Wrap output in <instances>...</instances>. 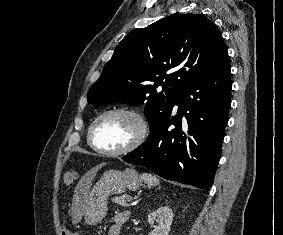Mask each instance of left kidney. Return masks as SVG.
<instances>
[{
	"label": "left kidney",
	"instance_id": "left-kidney-1",
	"mask_svg": "<svg viewBox=\"0 0 283 235\" xmlns=\"http://www.w3.org/2000/svg\"><path fill=\"white\" fill-rule=\"evenodd\" d=\"M172 221L173 212L168 206L158 208L148 215V222L154 228L149 235H168Z\"/></svg>",
	"mask_w": 283,
	"mask_h": 235
}]
</instances>
